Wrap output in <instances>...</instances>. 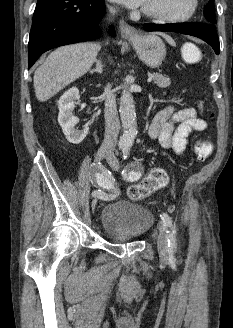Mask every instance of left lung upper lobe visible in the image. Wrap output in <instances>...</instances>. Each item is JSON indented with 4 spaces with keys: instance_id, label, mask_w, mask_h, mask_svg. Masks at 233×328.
Masks as SVG:
<instances>
[{
    "instance_id": "obj_1",
    "label": "left lung upper lobe",
    "mask_w": 233,
    "mask_h": 328,
    "mask_svg": "<svg viewBox=\"0 0 233 328\" xmlns=\"http://www.w3.org/2000/svg\"><path fill=\"white\" fill-rule=\"evenodd\" d=\"M204 16L210 24L216 23L214 0H210L205 6Z\"/></svg>"
}]
</instances>
